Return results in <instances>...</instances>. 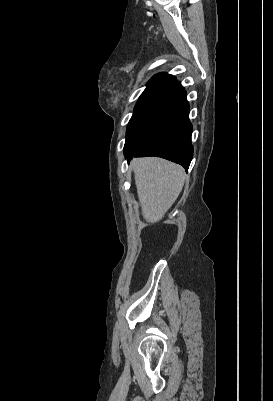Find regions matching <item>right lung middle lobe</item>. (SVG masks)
Returning a JSON list of instances; mask_svg holds the SVG:
<instances>
[{"label": "right lung middle lobe", "instance_id": "obj_1", "mask_svg": "<svg viewBox=\"0 0 273 401\" xmlns=\"http://www.w3.org/2000/svg\"><path fill=\"white\" fill-rule=\"evenodd\" d=\"M171 98L165 96L143 95L140 96L129 125L127 126L126 142L133 136L136 130L148 120L155 112L162 108Z\"/></svg>", "mask_w": 273, "mask_h": 401}]
</instances>
